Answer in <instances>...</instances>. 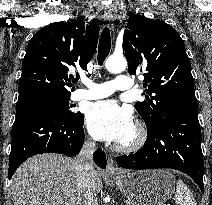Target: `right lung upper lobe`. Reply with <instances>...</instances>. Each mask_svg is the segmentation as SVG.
<instances>
[{
  "mask_svg": "<svg viewBox=\"0 0 212 205\" xmlns=\"http://www.w3.org/2000/svg\"><path fill=\"white\" fill-rule=\"evenodd\" d=\"M99 36L97 20L78 18L56 22L39 30L30 40L22 63L19 97L37 92L71 94V72L87 70Z\"/></svg>",
  "mask_w": 212,
  "mask_h": 205,
  "instance_id": "1",
  "label": "right lung upper lobe"
}]
</instances>
